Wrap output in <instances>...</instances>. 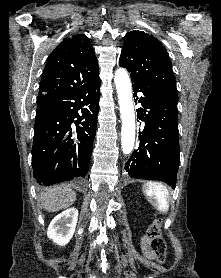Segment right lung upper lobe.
<instances>
[{
  "mask_svg": "<svg viewBox=\"0 0 221 278\" xmlns=\"http://www.w3.org/2000/svg\"><path fill=\"white\" fill-rule=\"evenodd\" d=\"M98 79L99 66L92 44L84 34H76L62 41L49 56L38 98L77 89Z\"/></svg>",
  "mask_w": 221,
  "mask_h": 278,
  "instance_id": "1",
  "label": "right lung upper lobe"
}]
</instances>
